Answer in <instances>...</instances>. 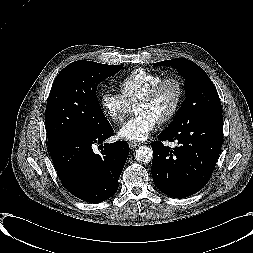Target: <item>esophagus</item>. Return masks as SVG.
Masks as SVG:
<instances>
[{"label": "esophagus", "instance_id": "obj_1", "mask_svg": "<svg viewBox=\"0 0 253 253\" xmlns=\"http://www.w3.org/2000/svg\"><path fill=\"white\" fill-rule=\"evenodd\" d=\"M139 145L140 144L135 142V141H130L129 142V146H130L131 149H134V148L138 147Z\"/></svg>", "mask_w": 253, "mask_h": 253}]
</instances>
